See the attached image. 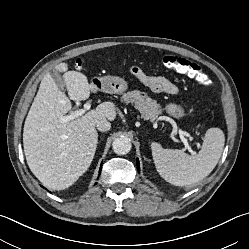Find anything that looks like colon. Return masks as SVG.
<instances>
[{"label": "colon", "instance_id": "colon-1", "mask_svg": "<svg viewBox=\"0 0 249 249\" xmlns=\"http://www.w3.org/2000/svg\"><path fill=\"white\" fill-rule=\"evenodd\" d=\"M161 62L165 67L185 74L201 85H207L209 83V78L204 73L202 68L198 64L191 62L185 58L176 55H163L161 57ZM76 68L78 70L82 69V63L80 61L77 62Z\"/></svg>", "mask_w": 249, "mask_h": 249}]
</instances>
